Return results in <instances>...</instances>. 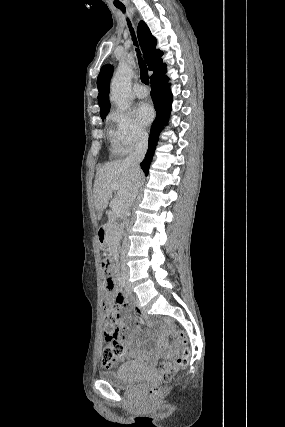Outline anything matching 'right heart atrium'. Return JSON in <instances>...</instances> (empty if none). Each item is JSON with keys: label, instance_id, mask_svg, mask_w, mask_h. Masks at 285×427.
I'll use <instances>...</instances> for the list:
<instances>
[{"label": "right heart atrium", "instance_id": "obj_1", "mask_svg": "<svg viewBox=\"0 0 285 427\" xmlns=\"http://www.w3.org/2000/svg\"><path fill=\"white\" fill-rule=\"evenodd\" d=\"M109 120L114 124L110 135L116 142L115 150L125 154L146 141L145 130L125 111H114Z\"/></svg>", "mask_w": 285, "mask_h": 427}]
</instances>
